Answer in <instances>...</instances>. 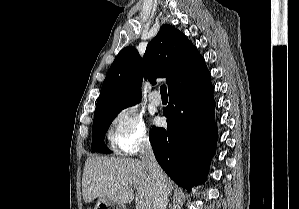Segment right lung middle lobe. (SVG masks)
<instances>
[{
  "label": "right lung middle lobe",
  "instance_id": "1",
  "mask_svg": "<svg viewBox=\"0 0 299 209\" xmlns=\"http://www.w3.org/2000/svg\"><path fill=\"white\" fill-rule=\"evenodd\" d=\"M124 108L94 115L93 128H92V151H98L102 153H109L108 148L104 144L105 133L108 130L112 120L118 115V113Z\"/></svg>",
  "mask_w": 299,
  "mask_h": 209
}]
</instances>
